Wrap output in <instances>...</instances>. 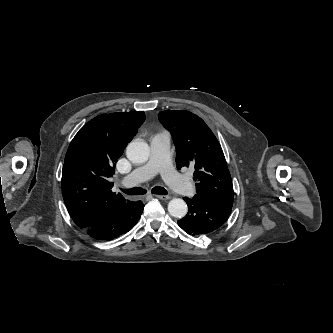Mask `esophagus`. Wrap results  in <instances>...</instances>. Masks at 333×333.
<instances>
[{
  "instance_id": "34e87169",
  "label": "esophagus",
  "mask_w": 333,
  "mask_h": 333,
  "mask_svg": "<svg viewBox=\"0 0 333 333\" xmlns=\"http://www.w3.org/2000/svg\"><path fill=\"white\" fill-rule=\"evenodd\" d=\"M158 199L169 200L171 197L169 195H155Z\"/></svg>"
}]
</instances>
